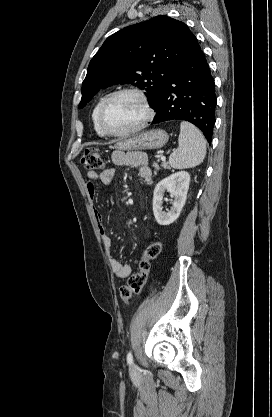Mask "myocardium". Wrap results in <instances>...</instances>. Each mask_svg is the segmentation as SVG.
I'll return each instance as SVG.
<instances>
[{
  "label": "myocardium",
  "mask_w": 272,
  "mask_h": 417,
  "mask_svg": "<svg viewBox=\"0 0 272 417\" xmlns=\"http://www.w3.org/2000/svg\"><path fill=\"white\" fill-rule=\"evenodd\" d=\"M121 95H133L135 97H137L139 99V101L141 102L144 111H145V116L144 118L135 126H133L132 128L122 131V132H111L109 130L106 129L105 125H104V114L105 111L108 107V105L117 97L121 96ZM154 117V110L150 104V101L148 99V97L146 96V94L138 89V88H123V89H119L113 93H111L110 95L107 96V98L104 100V102L102 103L100 109H99V113H98V126L99 129L101 131V133L105 136H109V137H126L129 135H132L140 130H142L143 128H145L149 122L153 119Z\"/></svg>",
  "instance_id": "myocardium-1"
}]
</instances>
